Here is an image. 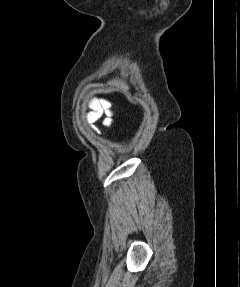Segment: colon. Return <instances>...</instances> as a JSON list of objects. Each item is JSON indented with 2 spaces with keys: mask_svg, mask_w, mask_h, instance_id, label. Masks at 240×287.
Segmentation results:
<instances>
[{
  "mask_svg": "<svg viewBox=\"0 0 240 287\" xmlns=\"http://www.w3.org/2000/svg\"><path fill=\"white\" fill-rule=\"evenodd\" d=\"M102 112L105 114L104 126L109 127L113 124L114 111L111 109V104L107 100L98 101Z\"/></svg>",
  "mask_w": 240,
  "mask_h": 287,
  "instance_id": "obj_1",
  "label": "colon"
}]
</instances>
